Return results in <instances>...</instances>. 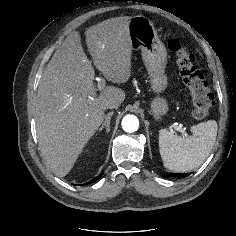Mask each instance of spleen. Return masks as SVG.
Listing matches in <instances>:
<instances>
[{"instance_id": "obj_1", "label": "spleen", "mask_w": 236, "mask_h": 236, "mask_svg": "<svg viewBox=\"0 0 236 236\" xmlns=\"http://www.w3.org/2000/svg\"><path fill=\"white\" fill-rule=\"evenodd\" d=\"M215 120L191 127V136H178L166 129L159 131V152L163 165L175 172H187L199 167L209 156L216 141Z\"/></svg>"}]
</instances>
